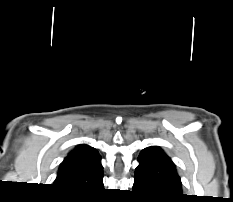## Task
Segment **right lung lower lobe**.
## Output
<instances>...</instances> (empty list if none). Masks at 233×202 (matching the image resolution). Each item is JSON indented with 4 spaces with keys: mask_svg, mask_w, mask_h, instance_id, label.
Listing matches in <instances>:
<instances>
[{
    "mask_svg": "<svg viewBox=\"0 0 233 202\" xmlns=\"http://www.w3.org/2000/svg\"><path fill=\"white\" fill-rule=\"evenodd\" d=\"M102 188H103V187H102ZM102 188H100V189H98L97 191H95L94 193L89 194V195H86V196H89V197L95 196L96 194H98V192H99L100 190H102ZM63 192H64V191H63ZM66 193H68V192H66Z\"/></svg>",
    "mask_w": 233,
    "mask_h": 202,
    "instance_id": "1",
    "label": "right lung lower lobe"
}]
</instances>
